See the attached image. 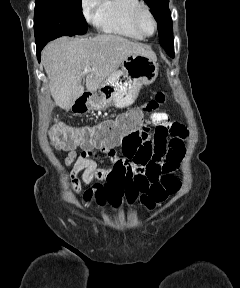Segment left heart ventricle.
Here are the masks:
<instances>
[{
    "instance_id": "b2bd125f",
    "label": "left heart ventricle",
    "mask_w": 240,
    "mask_h": 288,
    "mask_svg": "<svg viewBox=\"0 0 240 288\" xmlns=\"http://www.w3.org/2000/svg\"><path fill=\"white\" fill-rule=\"evenodd\" d=\"M139 26L144 34H151L154 31V23L148 13L143 12L139 17Z\"/></svg>"
}]
</instances>
